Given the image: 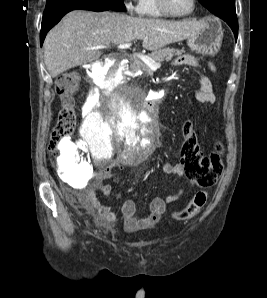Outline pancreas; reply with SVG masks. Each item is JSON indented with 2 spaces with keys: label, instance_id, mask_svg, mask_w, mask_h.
<instances>
[{
  "label": "pancreas",
  "instance_id": "obj_1",
  "mask_svg": "<svg viewBox=\"0 0 267 298\" xmlns=\"http://www.w3.org/2000/svg\"><path fill=\"white\" fill-rule=\"evenodd\" d=\"M183 52V50H177L173 48H163L158 49L154 52H152L149 57H151L154 61L160 62L163 60H171L174 55H179ZM131 71L135 72L138 70H143L146 73H150V68L139 58L135 57L133 59V63L130 66Z\"/></svg>",
  "mask_w": 267,
  "mask_h": 298
}]
</instances>
